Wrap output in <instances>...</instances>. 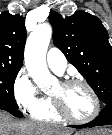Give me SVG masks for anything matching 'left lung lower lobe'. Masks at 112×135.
<instances>
[{"instance_id":"obj_1","label":"left lung lower lobe","mask_w":112,"mask_h":135,"mask_svg":"<svg viewBox=\"0 0 112 135\" xmlns=\"http://www.w3.org/2000/svg\"><path fill=\"white\" fill-rule=\"evenodd\" d=\"M112 125V104L105 105V107L100 112L99 116L93 121L83 124V125H74L73 128H86V127H95L102 125Z\"/></svg>"}]
</instances>
